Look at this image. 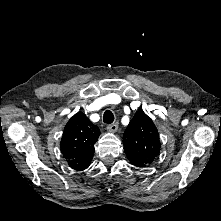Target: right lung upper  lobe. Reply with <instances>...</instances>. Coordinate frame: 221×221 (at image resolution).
<instances>
[{"instance_id":"cb5924a9","label":"right lung upper lobe","mask_w":221,"mask_h":221,"mask_svg":"<svg viewBox=\"0 0 221 221\" xmlns=\"http://www.w3.org/2000/svg\"><path fill=\"white\" fill-rule=\"evenodd\" d=\"M99 133L98 127L84 113L78 112L70 118L64 128L60 148L72 169L82 171L88 168Z\"/></svg>"}]
</instances>
